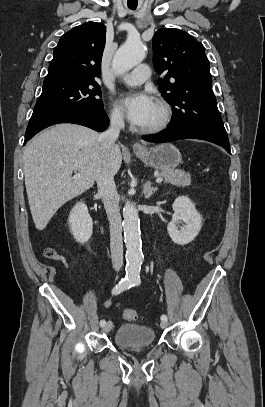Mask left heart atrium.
Wrapping results in <instances>:
<instances>
[{"instance_id": "obj_1", "label": "left heart atrium", "mask_w": 265, "mask_h": 407, "mask_svg": "<svg viewBox=\"0 0 265 407\" xmlns=\"http://www.w3.org/2000/svg\"><path fill=\"white\" fill-rule=\"evenodd\" d=\"M120 104L128 119L137 126H143L148 121L155 107L153 98L145 92L124 96Z\"/></svg>"}]
</instances>
